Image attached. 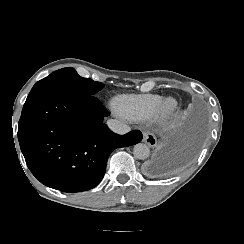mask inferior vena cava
<instances>
[{"mask_svg":"<svg viewBox=\"0 0 244 244\" xmlns=\"http://www.w3.org/2000/svg\"><path fill=\"white\" fill-rule=\"evenodd\" d=\"M107 125L112 131L118 134H125L130 131V127L128 125L116 119H109L107 121Z\"/></svg>","mask_w":244,"mask_h":244,"instance_id":"inferior-vena-cava-1","label":"inferior vena cava"}]
</instances>
